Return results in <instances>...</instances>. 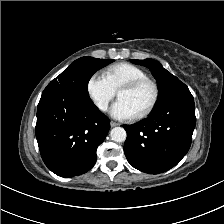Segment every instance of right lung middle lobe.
I'll list each match as a JSON object with an SVG mask.
<instances>
[{
  "label": "right lung middle lobe",
  "mask_w": 224,
  "mask_h": 224,
  "mask_svg": "<svg viewBox=\"0 0 224 224\" xmlns=\"http://www.w3.org/2000/svg\"><path fill=\"white\" fill-rule=\"evenodd\" d=\"M113 61L112 59H96L93 57L79 58L57 78L53 79L46 88L66 90L89 98L87 86L90 78L97 70Z\"/></svg>",
  "instance_id": "1"
}]
</instances>
